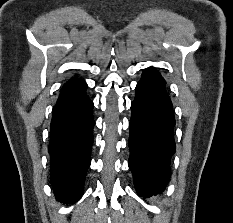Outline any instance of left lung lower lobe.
I'll use <instances>...</instances> for the list:
<instances>
[{
    "label": "left lung lower lobe",
    "instance_id": "1",
    "mask_svg": "<svg viewBox=\"0 0 233 223\" xmlns=\"http://www.w3.org/2000/svg\"><path fill=\"white\" fill-rule=\"evenodd\" d=\"M165 83L155 68L145 69L131 104L129 167L137 192L145 197L165 189L176 150L175 118Z\"/></svg>",
    "mask_w": 233,
    "mask_h": 223
}]
</instances>
